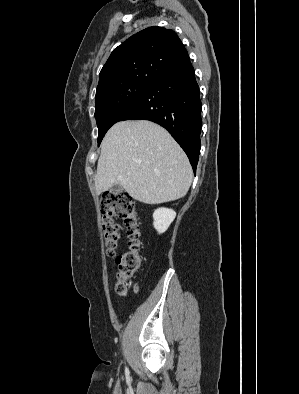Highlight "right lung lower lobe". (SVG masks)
Returning <instances> with one entry per match:
<instances>
[{
  "mask_svg": "<svg viewBox=\"0 0 299 394\" xmlns=\"http://www.w3.org/2000/svg\"><path fill=\"white\" fill-rule=\"evenodd\" d=\"M138 119L164 127L196 171L201 147V100L189 57L154 80L118 121Z\"/></svg>",
  "mask_w": 299,
  "mask_h": 394,
  "instance_id": "right-lung-lower-lobe-1",
  "label": "right lung lower lobe"
}]
</instances>
